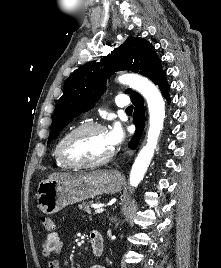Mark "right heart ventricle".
<instances>
[{"label":"right heart ventricle","mask_w":221,"mask_h":268,"mask_svg":"<svg viewBox=\"0 0 221 268\" xmlns=\"http://www.w3.org/2000/svg\"><path fill=\"white\" fill-rule=\"evenodd\" d=\"M60 141V140H59ZM58 141V143H59ZM58 143L55 145V148H54V158H55V162L57 164V166L61 167V168H70L69 166L65 165L64 163H62L59 158H58V155H57V147H58Z\"/></svg>","instance_id":"e07e8e85"}]
</instances>
